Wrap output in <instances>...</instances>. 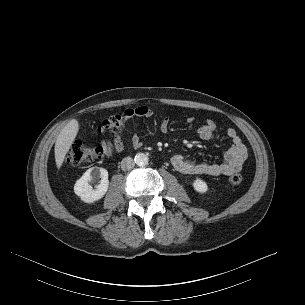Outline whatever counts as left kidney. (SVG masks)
I'll return each instance as SVG.
<instances>
[{
	"label": "left kidney",
	"mask_w": 305,
	"mask_h": 305,
	"mask_svg": "<svg viewBox=\"0 0 305 305\" xmlns=\"http://www.w3.org/2000/svg\"><path fill=\"white\" fill-rule=\"evenodd\" d=\"M193 187L199 193H205L208 190V186H207L206 182H204L203 180H201L199 178L194 180Z\"/></svg>",
	"instance_id": "1"
}]
</instances>
